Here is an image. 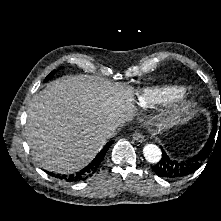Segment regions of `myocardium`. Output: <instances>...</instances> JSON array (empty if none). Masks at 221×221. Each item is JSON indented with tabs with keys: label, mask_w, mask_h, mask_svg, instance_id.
Segmentation results:
<instances>
[{
	"label": "myocardium",
	"mask_w": 221,
	"mask_h": 221,
	"mask_svg": "<svg viewBox=\"0 0 221 221\" xmlns=\"http://www.w3.org/2000/svg\"><path fill=\"white\" fill-rule=\"evenodd\" d=\"M194 107L195 103L193 101H183L178 105L164 110L159 117V122L166 128L178 125L188 118Z\"/></svg>",
	"instance_id": "f54148a6"
}]
</instances>
